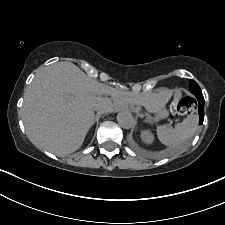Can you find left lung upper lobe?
I'll use <instances>...</instances> for the list:
<instances>
[{
	"mask_svg": "<svg viewBox=\"0 0 225 225\" xmlns=\"http://www.w3.org/2000/svg\"><path fill=\"white\" fill-rule=\"evenodd\" d=\"M189 89H190V92L194 96H200V95L202 96V92L200 90V87L195 81H193V80L190 81Z\"/></svg>",
	"mask_w": 225,
	"mask_h": 225,
	"instance_id": "left-lung-upper-lobe-1",
	"label": "left lung upper lobe"
}]
</instances>
